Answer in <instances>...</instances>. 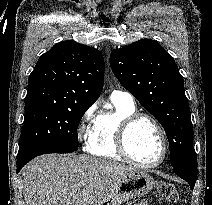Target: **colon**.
<instances>
[{"label": "colon", "mask_w": 212, "mask_h": 205, "mask_svg": "<svg viewBox=\"0 0 212 205\" xmlns=\"http://www.w3.org/2000/svg\"><path fill=\"white\" fill-rule=\"evenodd\" d=\"M157 197L161 201L175 204L178 201V192L173 184L162 182L158 184Z\"/></svg>", "instance_id": "obj_1"}]
</instances>
